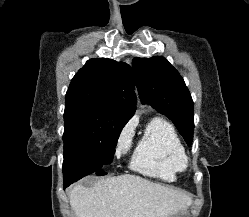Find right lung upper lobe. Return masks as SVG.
Here are the masks:
<instances>
[{"instance_id":"right-lung-upper-lobe-1","label":"right lung upper lobe","mask_w":249,"mask_h":217,"mask_svg":"<svg viewBox=\"0 0 249 217\" xmlns=\"http://www.w3.org/2000/svg\"><path fill=\"white\" fill-rule=\"evenodd\" d=\"M135 83L134 73L126 63L90 59L71 80L65 100L88 102L129 120L136 108Z\"/></svg>"}]
</instances>
